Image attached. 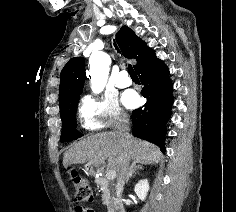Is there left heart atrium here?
Returning a JSON list of instances; mask_svg holds the SVG:
<instances>
[{
    "mask_svg": "<svg viewBox=\"0 0 236 212\" xmlns=\"http://www.w3.org/2000/svg\"><path fill=\"white\" fill-rule=\"evenodd\" d=\"M123 104L128 108H134L139 103V96L134 91H127L122 97Z\"/></svg>",
    "mask_w": 236,
    "mask_h": 212,
    "instance_id": "1",
    "label": "left heart atrium"
}]
</instances>
